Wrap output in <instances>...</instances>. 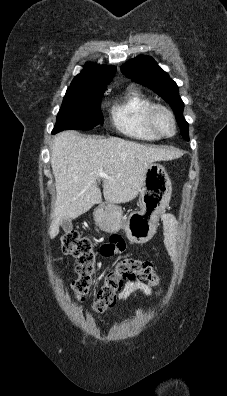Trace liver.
<instances>
[{"label": "liver", "instance_id": "6515ba94", "mask_svg": "<svg viewBox=\"0 0 227 396\" xmlns=\"http://www.w3.org/2000/svg\"><path fill=\"white\" fill-rule=\"evenodd\" d=\"M178 153L148 147L118 137L93 139L74 131L54 137L51 166L55 177L56 204L49 227L50 238L59 233L63 219H76L102 200L111 204L130 202L140 192L144 173L155 161L172 160ZM103 169L105 176H99Z\"/></svg>", "mask_w": 227, "mask_h": 396}]
</instances>
